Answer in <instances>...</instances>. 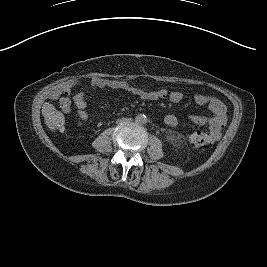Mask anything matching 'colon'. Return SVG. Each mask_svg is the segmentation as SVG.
Returning a JSON list of instances; mask_svg holds the SVG:
<instances>
[{
  "label": "colon",
  "mask_w": 267,
  "mask_h": 267,
  "mask_svg": "<svg viewBox=\"0 0 267 267\" xmlns=\"http://www.w3.org/2000/svg\"><path fill=\"white\" fill-rule=\"evenodd\" d=\"M45 125L52 132H60L65 128V117L52 104H45L42 108ZM191 145L198 150H205L209 147L210 141L203 132L192 134Z\"/></svg>",
  "instance_id": "colon-1"
}]
</instances>
